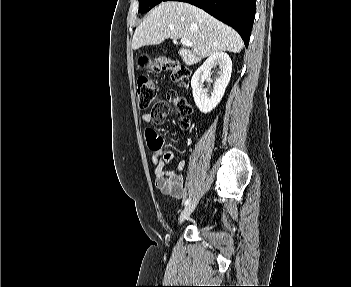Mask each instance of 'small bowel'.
Instances as JSON below:
<instances>
[{
    "label": "small bowel",
    "instance_id": "1",
    "mask_svg": "<svg viewBox=\"0 0 351 287\" xmlns=\"http://www.w3.org/2000/svg\"><path fill=\"white\" fill-rule=\"evenodd\" d=\"M141 120L144 123L143 132L148 151L153 152L151 163L154 166L156 187L173 198L183 199L186 195V187L181 173L185 168V161L176 159L171 150H165L163 136L160 132H156V127H151L152 114H143ZM173 161H176V167L165 170V166Z\"/></svg>",
    "mask_w": 351,
    "mask_h": 287
}]
</instances>
